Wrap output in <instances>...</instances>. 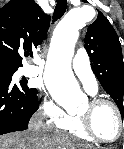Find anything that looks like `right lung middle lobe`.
I'll list each match as a JSON object with an SVG mask.
<instances>
[{
    "label": "right lung middle lobe",
    "instance_id": "1",
    "mask_svg": "<svg viewBox=\"0 0 124 149\" xmlns=\"http://www.w3.org/2000/svg\"><path fill=\"white\" fill-rule=\"evenodd\" d=\"M17 71V68H0V74H4L8 77H12Z\"/></svg>",
    "mask_w": 124,
    "mask_h": 149
}]
</instances>
